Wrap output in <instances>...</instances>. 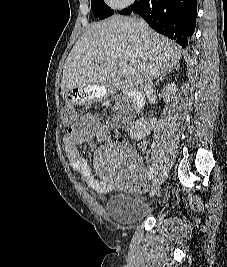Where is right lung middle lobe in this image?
Segmentation results:
<instances>
[{
  "label": "right lung middle lobe",
  "mask_w": 227,
  "mask_h": 267,
  "mask_svg": "<svg viewBox=\"0 0 227 267\" xmlns=\"http://www.w3.org/2000/svg\"><path fill=\"white\" fill-rule=\"evenodd\" d=\"M91 10L95 17L105 19L114 13V10L108 7L104 0H91Z\"/></svg>",
  "instance_id": "dd1d6c3e"
}]
</instances>
